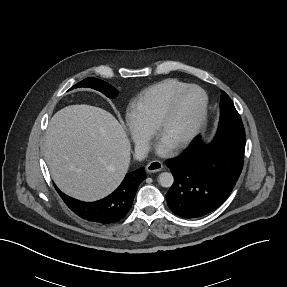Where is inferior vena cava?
I'll list each match as a JSON object with an SVG mask.
<instances>
[{"label":"inferior vena cava","instance_id":"inferior-vena-cava-1","mask_svg":"<svg viewBox=\"0 0 287 287\" xmlns=\"http://www.w3.org/2000/svg\"><path fill=\"white\" fill-rule=\"evenodd\" d=\"M149 152V146L146 144H140L135 146V158L136 160H144Z\"/></svg>","mask_w":287,"mask_h":287}]
</instances>
